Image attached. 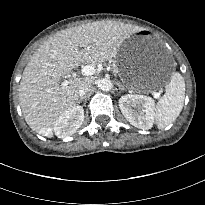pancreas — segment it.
<instances>
[{"mask_svg":"<svg viewBox=\"0 0 205 205\" xmlns=\"http://www.w3.org/2000/svg\"><path fill=\"white\" fill-rule=\"evenodd\" d=\"M111 68H112V71H113L114 73H118V68H117L116 66H112Z\"/></svg>","mask_w":205,"mask_h":205,"instance_id":"cf45deb5","label":"pancreas"}]
</instances>
